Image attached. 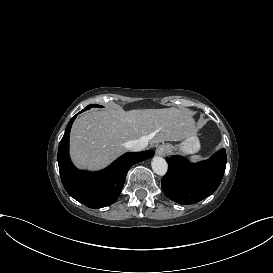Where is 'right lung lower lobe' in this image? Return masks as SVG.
<instances>
[{"label":"right lung lower lobe","mask_w":273,"mask_h":273,"mask_svg":"<svg viewBox=\"0 0 273 273\" xmlns=\"http://www.w3.org/2000/svg\"><path fill=\"white\" fill-rule=\"evenodd\" d=\"M84 111L77 113L66 126L58 149L59 172L62 184L70 196L89 208H102L117 200L131 166L152 157L154 151L126 153L99 172L79 171L69 158V134L76 116Z\"/></svg>","instance_id":"obj_1"}]
</instances>
